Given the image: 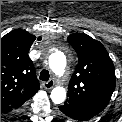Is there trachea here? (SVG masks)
<instances>
[{
    "mask_svg": "<svg viewBox=\"0 0 122 122\" xmlns=\"http://www.w3.org/2000/svg\"><path fill=\"white\" fill-rule=\"evenodd\" d=\"M49 77H50V75H49L48 70L43 69L40 73L39 78H40V80L47 82L49 80Z\"/></svg>",
    "mask_w": 122,
    "mask_h": 122,
    "instance_id": "1",
    "label": "trachea"
}]
</instances>
